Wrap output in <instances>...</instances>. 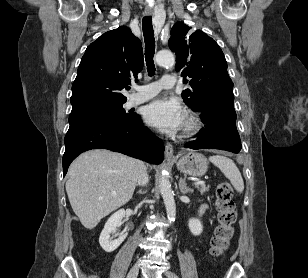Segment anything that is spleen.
<instances>
[{
	"mask_svg": "<svg viewBox=\"0 0 308 278\" xmlns=\"http://www.w3.org/2000/svg\"><path fill=\"white\" fill-rule=\"evenodd\" d=\"M209 161L221 170L237 192L241 193L244 190L243 178L233 160L226 156L213 155L209 158Z\"/></svg>",
	"mask_w": 308,
	"mask_h": 278,
	"instance_id": "obj_1",
	"label": "spleen"
}]
</instances>
